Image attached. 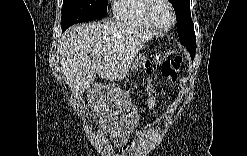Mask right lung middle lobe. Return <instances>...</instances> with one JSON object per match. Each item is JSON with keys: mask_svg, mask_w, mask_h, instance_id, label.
<instances>
[{"mask_svg": "<svg viewBox=\"0 0 247 156\" xmlns=\"http://www.w3.org/2000/svg\"><path fill=\"white\" fill-rule=\"evenodd\" d=\"M107 14V0H64L62 6V31L69 26L100 19Z\"/></svg>", "mask_w": 247, "mask_h": 156, "instance_id": "1", "label": "right lung middle lobe"}]
</instances>
